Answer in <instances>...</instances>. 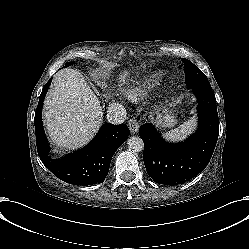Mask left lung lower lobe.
Masks as SVG:
<instances>
[{
	"instance_id": "0a47b994",
	"label": "left lung lower lobe",
	"mask_w": 249,
	"mask_h": 249,
	"mask_svg": "<svg viewBox=\"0 0 249 249\" xmlns=\"http://www.w3.org/2000/svg\"><path fill=\"white\" fill-rule=\"evenodd\" d=\"M192 89L198 99L199 128L187 141L170 144L150 123L140 127L144 164L156 183L174 186L195 177L207 166L215 149L219 135L215 95L210 88Z\"/></svg>"
}]
</instances>
